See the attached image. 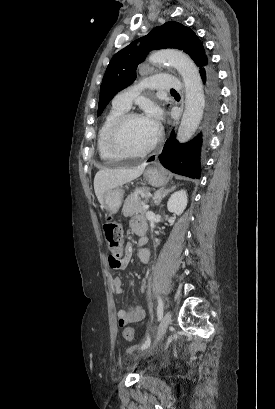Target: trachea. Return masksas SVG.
Returning a JSON list of instances; mask_svg holds the SVG:
<instances>
[{
    "instance_id": "trachea-1",
    "label": "trachea",
    "mask_w": 275,
    "mask_h": 409,
    "mask_svg": "<svg viewBox=\"0 0 275 409\" xmlns=\"http://www.w3.org/2000/svg\"><path fill=\"white\" fill-rule=\"evenodd\" d=\"M171 92H176V90L174 89V88H171V90H170Z\"/></svg>"
}]
</instances>
